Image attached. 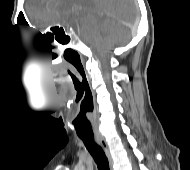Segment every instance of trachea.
Listing matches in <instances>:
<instances>
[{"mask_svg":"<svg viewBox=\"0 0 190 170\" xmlns=\"http://www.w3.org/2000/svg\"><path fill=\"white\" fill-rule=\"evenodd\" d=\"M97 164L98 170H110L108 159L95 140L93 135L79 136Z\"/></svg>","mask_w":190,"mask_h":170,"instance_id":"trachea-1","label":"trachea"}]
</instances>
